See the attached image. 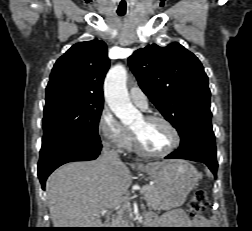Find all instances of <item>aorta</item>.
Returning a JSON list of instances; mask_svg holds the SVG:
<instances>
[{
  "mask_svg": "<svg viewBox=\"0 0 252 231\" xmlns=\"http://www.w3.org/2000/svg\"><path fill=\"white\" fill-rule=\"evenodd\" d=\"M127 71L123 65H115L107 73L104 83L105 100L112 112L125 125L131 124L140 113L131 104L127 88Z\"/></svg>",
  "mask_w": 252,
  "mask_h": 231,
  "instance_id": "aorta-1",
  "label": "aorta"
}]
</instances>
